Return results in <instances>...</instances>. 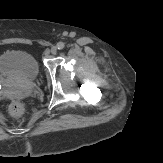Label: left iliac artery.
<instances>
[{
	"label": "left iliac artery",
	"mask_w": 163,
	"mask_h": 163,
	"mask_svg": "<svg viewBox=\"0 0 163 163\" xmlns=\"http://www.w3.org/2000/svg\"><path fill=\"white\" fill-rule=\"evenodd\" d=\"M64 47H65V45H64L63 42H59V43L57 44V48H58L59 50H62Z\"/></svg>",
	"instance_id": "obj_1"
}]
</instances>
